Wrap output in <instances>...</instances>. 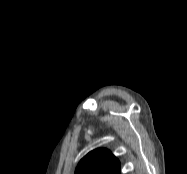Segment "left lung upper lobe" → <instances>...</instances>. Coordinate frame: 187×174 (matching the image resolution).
<instances>
[{"mask_svg":"<svg viewBox=\"0 0 187 174\" xmlns=\"http://www.w3.org/2000/svg\"><path fill=\"white\" fill-rule=\"evenodd\" d=\"M75 174H120V163L109 150L100 148L79 162Z\"/></svg>","mask_w":187,"mask_h":174,"instance_id":"left-lung-upper-lobe-1","label":"left lung upper lobe"}]
</instances>
